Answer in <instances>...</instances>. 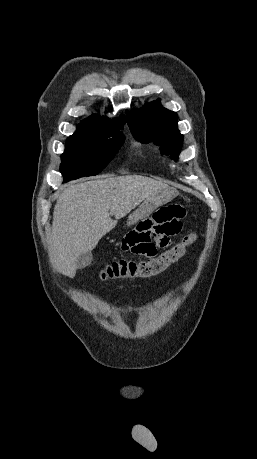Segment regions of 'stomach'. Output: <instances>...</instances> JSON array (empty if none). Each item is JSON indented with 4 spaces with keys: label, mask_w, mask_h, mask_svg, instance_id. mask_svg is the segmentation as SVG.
I'll use <instances>...</instances> for the list:
<instances>
[{
    "label": "stomach",
    "mask_w": 257,
    "mask_h": 459,
    "mask_svg": "<svg viewBox=\"0 0 257 459\" xmlns=\"http://www.w3.org/2000/svg\"><path fill=\"white\" fill-rule=\"evenodd\" d=\"M177 194L175 189L168 187L144 199L142 204L129 216L128 225L138 222L143 217H148L157 205L168 203Z\"/></svg>",
    "instance_id": "obj_1"
}]
</instances>
